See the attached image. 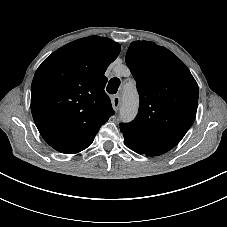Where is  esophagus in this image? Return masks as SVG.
Here are the masks:
<instances>
[{"label":"esophagus","instance_id":"obj_1","mask_svg":"<svg viewBox=\"0 0 227 227\" xmlns=\"http://www.w3.org/2000/svg\"><path fill=\"white\" fill-rule=\"evenodd\" d=\"M113 109L115 111H118L120 108V97L119 96H114L111 100Z\"/></svg>","mask_w":227,"mask_h":227}]
</instances>
